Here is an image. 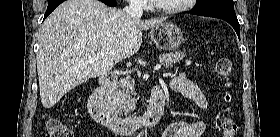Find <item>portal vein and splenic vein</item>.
Segmentation results:
<instances>
[{"mask_svg": "<svg viewBox=\"0 0 280 137\" xmlns=\"http://www.w3.org/2000/svg\"><path fill=\"white\" fill-rule=\"evenodd\" d=\"M97 58H100V57H103V54L102 53H97L96 55ZM161 68V64H157L155 67H154V70H158Z\"/></svg>", "mask_w": 280, "mask_h": 137, "instance_id": "1", "label": "portal vein and splenic vein"}]
</instances>
